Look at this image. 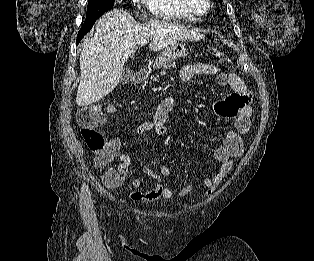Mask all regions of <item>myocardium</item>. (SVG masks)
I'll list each match as a JSON object with an SVG mask.
<instances>
[{
	"label": "myocardium",
	"instance_id": "obj_1",
	"mask_svg": "<svg viewBox=\"0 0 314 261\" xmlns=\"http://www.w3.org/2000/svg\"><path fill=\"white\" fill-rule=\"evenodd\" d=\"M179 1H180L181 6L184 8V10L194 17H202L206 15L210 11V8H211V0H205V9L203 11L195 10L193 6L191 5L190 0H179Z\"/></svg>",
	"mask_w": 314,
	"mask_h": 261
}]
</instances>
